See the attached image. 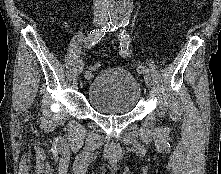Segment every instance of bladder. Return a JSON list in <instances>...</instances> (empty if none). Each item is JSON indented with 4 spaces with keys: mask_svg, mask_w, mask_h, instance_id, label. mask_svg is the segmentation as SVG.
<instances>
[{
    "mask_svg": "<svg viewBox=\"0 0 221 174\" xmlns=\"http://www.w3.org/2000/svg\"><path fill=\"white\" fill-rule=\"evenodd\" d=\"M141 98L138 80L126 69L110 67L99 71L87 88V100L91 107L106 115L132 112Z\"/></svg>",
    "mask_w": 221,
    "mask_h": 174,
    "instance_id": "31cf9c89",
    "label": "bladder"
}]
</instances>
